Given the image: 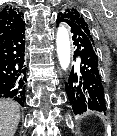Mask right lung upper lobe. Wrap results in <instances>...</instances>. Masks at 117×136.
I'll return each mask as SVG.
<instances>
[{
	"instance_id": "1",
	"label": "right lung upper lobe",
	"mask_w": 117,
	"mask_h": 136,
	"mask_svg": "<svg viewBox=\"0 0 117 136\" xmlns=\"http://www.w3.org/2000/svg\"><path fill=\"white\" fill-rule=\"evenodd\" d=\"M23 15L16 8L6 6L0 11V43L22 22Z\"/></svg>"
}]
</instances>
